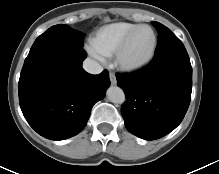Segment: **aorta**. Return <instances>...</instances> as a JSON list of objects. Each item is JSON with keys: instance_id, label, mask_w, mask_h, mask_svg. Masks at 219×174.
<instances>
[{"instance_id": "aorta-1", "label": "aorta", "mask_w": 219, "mask_h": 174, "mask_svg": "<svg viewBox=\"0 0 219 174\" xmlns=\"http://www.w3.org/2000/svg\"><path fill=\"white\" fill-rule=\"evenodd\" d=\"M107 97L112 103L122 104L125 102L124 91L118 86H110L107 89Z\"/></svg>"}]
</instances>
